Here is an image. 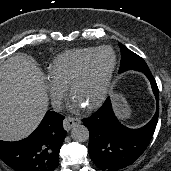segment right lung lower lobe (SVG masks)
<instances>
[{"label": "right lung lower lobe", "instance_id": "98d812e1", "mask_svg": "<svg viewBox=\"0 0 171 171\" xmlns=\"http://www.w3.org/2000/svg\"><path fill=\"white\" fill-rule=\"evenodd\" d=\"M63 119L64 116L48 111L27 138L17 142L0 140V158L16 171H53L66 136Z\"/></svg>", "mask_w": 171, "mask_h": 171}]
</instances>
